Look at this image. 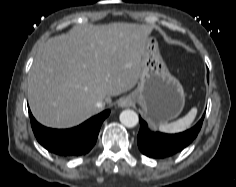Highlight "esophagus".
<instances>
[{"mask_svg":"<svg viewBox=\"0 0 236 187\" xmlns=\"http://www.w3.org/2000/svg\"><path fill=\"white\" fill-rule=\"evenodd\" d=\"M132 100L130 98H122L118 101L119 107H128L131 106Z\"/></svg>","mask_w":236,"mask_h":187,"instance_id":"34e87169","label":"esophagus"}]
</instances>
